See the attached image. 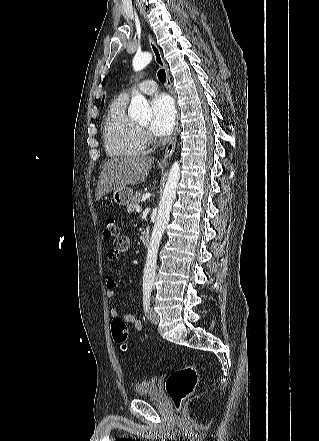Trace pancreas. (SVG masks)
<instances>
[{"instance_id": "1", "label": "pancreas", "mask_w": 319, "mask_h": 441, "mask_svg": "<svg viewBox=\"0 0 319 441\" xmlns=\"http://www.w3.org/2000/svg\"><path fill=\"white\" fill-rule=\"evenodd\" d=\"M141 202V194L139 192H136L133 196L131 203L127 205L126 209L128 213L135 212V209L137 206H139Z\"/></svg>"}]
</instances>
